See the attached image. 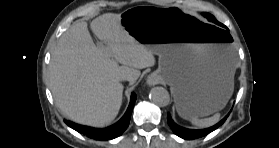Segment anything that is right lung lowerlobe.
<instances>
[{
	"mask_svg": "<svg viewBox=\"0 0 279 148\" xmlns=\"http://www.w3.org/2000/svg\"><path fill=\"white\" fill-rule=\"evenodd\" d=\"M136 101V94L132 93L130 105L124 114V116L114 125L105 129H94L86 126L77 125L70 121H65V123L76 130L79 133H83L86 136L95 140H109L120 136L128 127L131 113L133 110L134 103Z\"/></svg>",
	"mask_w": 279,
	"mask_h": 148,
	"instance_id": "obj_1",
	"label": "right lung lower lobe"
}]
</instances>
